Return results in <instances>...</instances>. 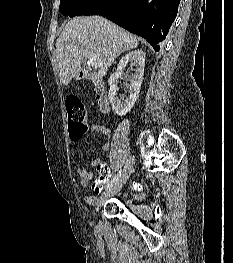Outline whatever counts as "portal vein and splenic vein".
Returning a JSON list of instances; mask_svg holds the SVG:
<instances>
[{"mask_svg": "<svg viewBox=\"0 0 233 263\" xmlns=\"http://www.w3.org/2000/svg\"><path fill=\"white\" fill-rule=\"evenodd\" d=\"M88 63L92 66H101V62L93 56H88Z\"/></svg>", "mask_w": 233, "mask_h": 263, "instance_id": "1", "label": "portal vein and splenic vein"}]
</instances>
